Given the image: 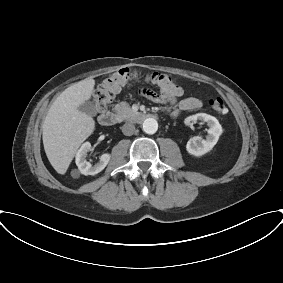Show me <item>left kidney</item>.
Returning <instances> with one entry per match:
<instances>
[{
  "label": "left kidney",
  "instance_id": "left-kidney-1",
  "mask_svg": "<svg viewBox=\"0 0 283 283\" xmlns=\"http://www.w3.org/2000/svg\"><path fill=\"white\" fill-rule=\"evenodd\" d=\"M197 120L206 122L209 126L208 135L206 139L200 137H194L187 142L186 150L189 154L194 156H202L212 150L219 140L220 135L222 134V126L219 121L206 113H198L192 116H189L185 119L186 125H192L193 122Z\"/></svg>",
  "mask_w": 283,
  "mask_h": 283
}]
</instances>
